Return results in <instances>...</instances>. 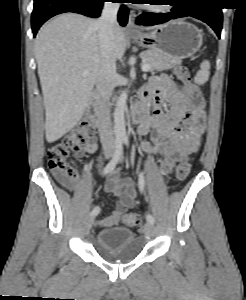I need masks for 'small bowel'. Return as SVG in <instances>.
<instances>
[{"instance_id": "1", "label": "small bowel", "mask_w": 246, "mask_h": 300, "mask_svg": "<svg viewBox=\"0 0 246 300\" xmlns=\"http://www.w3.org/2000/svg\"><path fill=\"white\" fill-rule=\"evenodd\" d=\"M142 99L149 107L146 119L138 128L141 137L148 136L141 142L142 149L147 154L160 155L162 173L168 175L177 162L199 149L205 131L203 107L196 108L190 96L166 74L150 80ZM97 149L96 142L86 147L89 153ZM58 178L67 189L78 191L76 177ZM104 190L113 193L119 201L109 216L97 221L101 228L117 225L124 212L134 207L137 195L136 183L117 173L106 181Z\"/></svg>"}]
</instances>
